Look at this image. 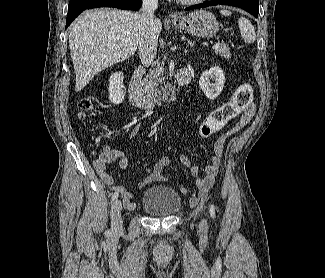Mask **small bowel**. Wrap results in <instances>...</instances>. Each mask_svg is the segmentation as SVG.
I'll return each instance as SVG.
<instances>
[{
	"label": "small bowel",
	"mask_w": 325,
	"mask_h": 278,
	"mask_svg": "<svg viewBox=\"0 0 325 278\" xmlns=\"http://www.w3.org/2000/svg\"><path fill=\"white\" fill-rule=\"evenodd\" d=\"M254 112V106L251 104L243 111L233 131H238L247 125L252 119ZM141 126L142 121L139 120L131 129L129 139H133L136 136V134L141 129ZM225 142L226 137H220L215 142L210 163L205 168V174L197 180V190L195 191L194 195L198 197L203 196L207 194L213 186L215 176L221 162ZM179 160L182 165L189 169L192 175H199L200 168L197 165L192 164L188 156L181 155ZM114 161L119 162V167L122 171L127 170L128 159L124 152L116 149H111L108 146H104L102 153L98 158L94 160L93 165L104 183L108 185L112 190L120 193L121 197L123 198V203L126 207L132 208L134 206L133 203H131V198L133 197L136 190H141L154 182H164L168 180V177L163 173V171L167 166L170 165L171 159L168 156H162L158 158L152 166H145V171L147 173L146 176L140 181L136 182L133 189H125L121 186L116 185L113 176L106 172L107 164ZM181 192L185 195L188 194V190L186 188H181Z\"/></svg>",
	"instance_id": "c3829d8e"
}]
</instances>
